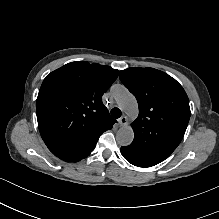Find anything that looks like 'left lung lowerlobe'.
<instances>
[{
    "instance_id": "0a47b994",
    "label": "left lung lower lobe",
    "mask_w": 219,
    "mask_h": 219,
    "mask_svg": "<svg viewBox=\"0 0 219 219\" xmlns=\"http://www.w3.org/2000/svg\"><path fill=\"white\" fill-rule=\"evenodd\" d=\"M121 154L129 163L137 167H151L158 164V162L141 155L129 146L121 147Z\"/></svg>"
}]
</instances>
